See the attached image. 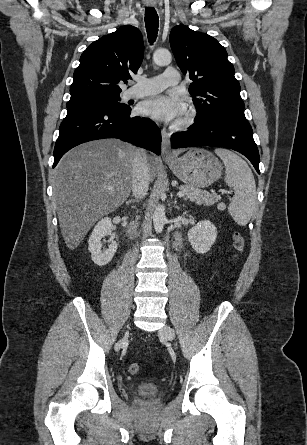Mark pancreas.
Segmentation results:
<instances>
[{
    "instance_id": "cf45deb5",
    "label": "pancreas",
    "mask_w": 307,
    "mask_h": 445,
    "mask_svg": "<svg viewBox=\"0 0 307 445\" xmlns=\"http://www.w3.org/2000/svg\"><path fill=\"white\" fill-rule=\"evenodd\" d=\"M180 192L186 194V198H190L192 202L196 204H204V206H211L220 200V194L216 192H206V190H201V188H196V186H189V184H182L179 186Z\"/></svg>"
}]
</instances>
